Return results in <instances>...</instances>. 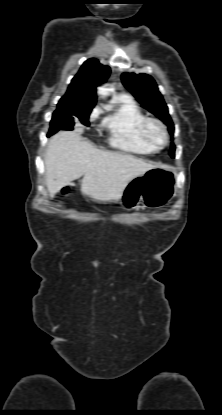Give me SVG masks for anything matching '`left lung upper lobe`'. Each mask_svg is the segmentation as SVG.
I'll use <instances>...</instances> for the list:
<instances>
[{
	"instance_id": "obj_1",
	"label": "left lung upper lobe",
	"mask_w": 222,
	"mask_h": 415,
	"mask_svg": "<svg viewBox=\"0 0 222 415\" xmlns=\"http://www.w3.org/2000/svg\"><path fill=\"white\" fill-rule=\"evenodd\" d=\"M122 82L144 108L168 126L170 134L173 135L174 125L169 116L168 107L154 79L147 74L124 73L122 74ZM169 154L171 157L175 156V145L173 143Z\"/></svg>"
}]
</instances>
